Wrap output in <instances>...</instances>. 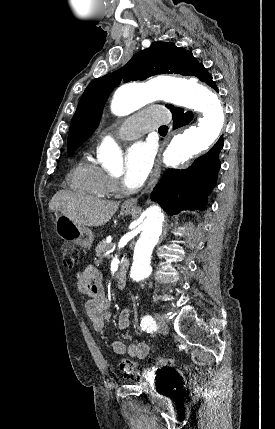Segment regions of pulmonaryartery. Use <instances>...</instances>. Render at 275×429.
I'll use <instances>...</instances> for the list:
<instances>
[{"label":"pulmonary artery","mask_w":275,"mask_h":429,"mask_svg":"<svg viewBox=\"0 0 275 429\" xmlns=\"http://www.w3.org/2000/svg\"><path fill=\"white\" fill-rule=\"evenodd\" d=\"M170 117L162 107H148L131 116L118 130L117 137L122 140H132L145 132L165 125Z\"/></svg>","instance_id":"obj_1"}]
</instances>
